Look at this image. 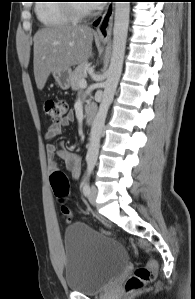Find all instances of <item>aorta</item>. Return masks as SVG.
Returning <instances> with one entry per match:
<instances>
[{"label":"aorta","mask_w":195,"mask_h":299,"mask_svg":"<svg viewBox=\"0 0 195 299\" xmlns=\"http://www.w3.org/2000/svg\"><path fill=\"white\" fill-rule=\"evenodd\" d=\"M129 14L130 2L115 3L112 56L105 81L102 101L91 127L90 144L86 155L87 162H96L98 158L101 133L122 72L129 26Z\"/></svg>","instance_id":"obj_1"}]
</instances>
